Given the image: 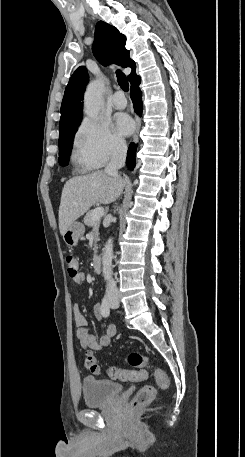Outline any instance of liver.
I'll return each instance as SVG.
<instances>
[{"instance_id":"6515ba94","label":"liver","mask_w":245,"mask_h":457,"mask_svg":"<svg viewBox=\"0 0 245 457\" xmlns=\"http://www.w3.org/2000/svg\"><path fill=\"white\" fill-rule=\"evenodd\" d=\"M123 190L122 178L96 170L84 176H73L64 184L59 206V229L61 235L70 224L89 210L94 202L109 204Z\"/></svg>"}]
</instances>
